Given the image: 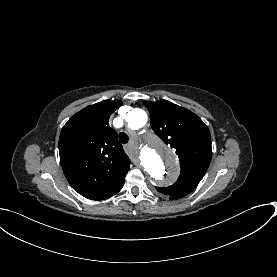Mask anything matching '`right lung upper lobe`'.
Instances as JSON below:
<instances>
[{
    "mask_svg": "<svg viewBox=\"0 0 277 277\" xmlns=\"http://www.w3.org/2000/svg\"><path fill=\"white\" fill-rule=\"evenodd\" d=\"M120 100L87 106L63 127L59 138L60 163L70 185L82 196L102 200L124 185L130 161L109 125ZM110 170V173L106 172Z\"/></svg>",
    "mask_w": 277,
    "mask_h": 277,
    "instance_id": "1",
    "label": "right lung upper lobe"
}]
</instances>
